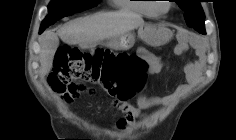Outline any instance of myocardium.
Returning a JSON list of instances; mask_svg holds the SVG:
<instances>
[{"instance_id": "obj_1", "label": "myocardium", "mask_w": 236, "mask_h": 140, "mask_svg": "<svg viewBox=\"0 0 236 140\" xmlns=\"http://www.w3.org/2000/svg\"><path fill=\"white\" fill-rule=\"evenodd\" d=\"M167 5L168 7L166 9H162L159 4H155L153 9L157 15L165 16L172 8V5L170 3Z\"/></svg>"}]
</instances>
